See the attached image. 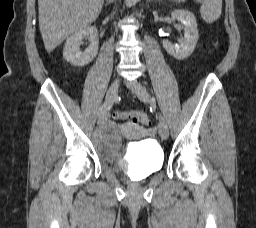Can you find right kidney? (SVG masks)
I'll list each match as a JSON object with an SVG mask.
<instances>
[{"mask_svg":"<svg viewBox=\"0 0 256 228\" xmlns=\"http://www.w3.org/2000/svg\"><path fill=\"white\" fill-rule=\"evenodd\" d=\"M85 37L91 40V44L85 51H80L82 39ZM98 43V31L95 26L81 29L67 39L63 49V57L74 66H85L96 57L98 53Z\"/></svg>","mask_w":256,"mask_h":228,"instance_id":"right-kidney-1","label":"right kidney"}]
</instances>
